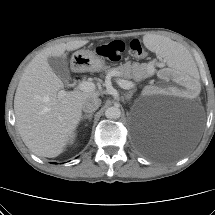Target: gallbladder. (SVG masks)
Wrapping results in <instances>:
<instances>
[{
  "label": "gallbladder",
  "instance_id": "bac80fb5",
  "mask_svg": "<svg viewBox=\"0 0 215 215\" xmlns=\"http://www.w3.org/2000/svg\"><path fill=\"white\" fill-rule=\"evenodd\" d=\"M48 63L53 72L63 81L67 82L70 79V74L67 66L66 56L49 57Z\"/></svg>",
  "mask_w": 215,
  "mask_h": 215
}]
</instances>
